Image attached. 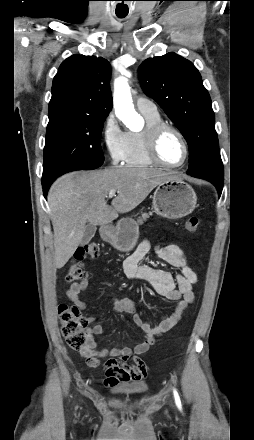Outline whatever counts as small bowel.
Listing matches in <instances>:
<instances>
[{
    "mask_svg": "<svg viewBox=\"0 0 254 440\" xmlns=\"http://www.w3.org/2000/svg\"><path fill=\"white\" fill-rule=\"evenodd\" d=\"M150 248V242L147 239L143 240L133 254L124 260L123 272L129 279L148 282L158 295L175 301L176 305L173 311L163 317L158 325L152 326L141 319L138 313V305L133 299H114V311L131 314L135 324L143 332V339L134 348L107 347L100 349L94 337L103 333L102 325L95 324L88 330L87 345L80 351V355L88 365L93 367L99 365V359L111 357L104 365L105 382L111 386L120 382H134L145 379L147 366L137 356L147 352L158 336L167 333L180 323L189 305L194 301L193 285L197 282L198 277L183 250L176 244L155 247V255L158 259L179 270V272L173 274L151 265L141 264ZM88 285L87 280L73 283L66 292L67 297L79 311L86 309V304L81 300L80 293ZM88 320L94 322L96 317L90 316ZM130 357H133V362L131 365H126L125 360Z\"/></svg>",
    "mask_w": 254,
    "mask_h": 440,
    "instance_id": "c3829d8e",
    "label": "small bowel"
}]
</instances>
